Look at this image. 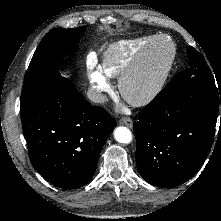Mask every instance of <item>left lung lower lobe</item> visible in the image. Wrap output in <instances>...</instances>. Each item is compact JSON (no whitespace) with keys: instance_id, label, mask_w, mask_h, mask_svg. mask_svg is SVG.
Returning a JSON list of instances; mask_svg holds the SVG:
<instances>
[{"instance_id":"1","label":"left lung lower lobe","mask_w":221,"mask_h":221,"mask_svg":"<svg viewBox=\"0 0 221 221\" xmlns=\"http://www.w3.org/2000/svg\"><path fill=\"white\" fill-rule=\"evenodd\" d=\"M219 104L220 84L194 77L166 86L145 106L133 125L142 178L159 187L188 181L210 152Z\"/></svg>"}]
</instances>
